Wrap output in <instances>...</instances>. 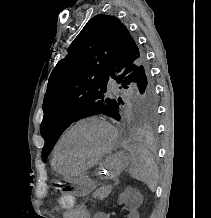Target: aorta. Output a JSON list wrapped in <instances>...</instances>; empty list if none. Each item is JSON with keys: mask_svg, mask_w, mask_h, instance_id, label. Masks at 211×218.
I'll use <instances>...</instances> for the list:
<instances>
[{"mask_svg": "<svg viewBox=\"0 0 211 218\" xmlns=\"http://www.w3.org/2000/svg\"><path fill=\"white\" fill-rule=\"evenodd\" d=\"M131 88H132L133 97L136 98L137 97V90H136L135 85H132Z\"/></svg>", "mask_w": 211, "mask_h": 218, "instance_id": "762f6f07", "label": "aorta"}]
</instances>
